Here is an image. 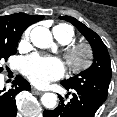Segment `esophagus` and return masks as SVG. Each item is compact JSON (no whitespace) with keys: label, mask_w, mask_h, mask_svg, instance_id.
<instances>
[{"label":"esophagus","mask_w":117,"mask_h":117,"mask_svg":"<svg viewBox=\"0 0 117 117\" xmlns=\"http://www.w3.org/2000/svg\"><path fill=\"white\" fill-rule=\"evenodd\" d=\"M32 91H33L35 94H37V95L43 94V91L37 90V89H35V88H32Z\"/></svg>","instance_id":"34e87169"}]
</instances>
